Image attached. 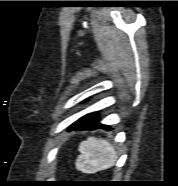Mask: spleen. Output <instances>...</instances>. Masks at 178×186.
I'll use <instances>...</instances> for the list:
<instances>
[{
	"mask_svg": "<svg viewBox=\"0 0 178 186\" xmlns=\"http://www.w3.org/2000/svg\"><path fill=\"white\" fill-rule=\"evenodd\" d=\"M76 168L84 173H95L112 167L117 160L114 147L101 138L89 137L79 145Z\"/></svg>",
	"mask_w": 178,
	"mask_h": 186,
	"instance_id": "1",
	"label": "spleen"
}]
</instances>
